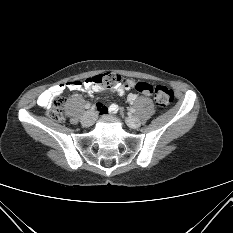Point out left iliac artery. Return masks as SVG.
I'll list each match as a JSON object with an SVG mask.
<instances>
[{
  "instance_id": "obj_1",
  "label": "left iliac artery",
  "mask_w": 233,
  "mask_h": 233,
  "mask_svg": "<svg viewBox=\"0 0 233 233\" xmlns=\"http://www.w3.org/2000/svg\"><path fill=\"white\" fill-rule=\"evenodd\" d=\"M130 112L131 113H135V109L134 108H130Z\"/></svg>"
}]
</instances>
